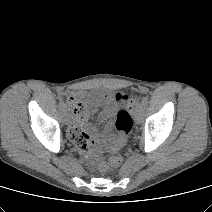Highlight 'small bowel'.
Masks as SVG:
<instances>
[{
    "label": "small bowel",
    "instance_id": "small-bowel-1",
    "mask_svg": "<svg viewBox=\"0 0 212 212\" xmlns=\"http://www.w3.org/2000/svg\"><path fill=\"white\" fill-rule=\"evenodd\" d=\"M78 98L88 100L94 106H102L99 114L100 122H107L115 113L116 106L109 95L104 92L78 93ZM68 135L83 151L91 154L94 150L114 149L117 138L110 133V124H106L104 132L97 134V128L88 121V110L73 117Z\"/></svg>",
    "mask_w": 212,
    "mask_h": 212
}]
</instances>
